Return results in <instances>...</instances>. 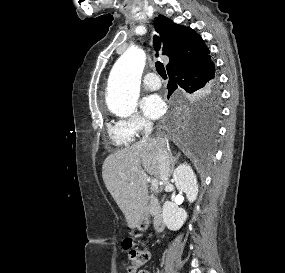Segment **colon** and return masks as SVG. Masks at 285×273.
I'll use <instances>...</instances> for the list:
<instances>
[{"label":"colon","mask_w":285,"mask_h":273,"mask_svg":"<svg viewBox=\"0 0 285 273\" xmlns=\"http://www.w3.org/2000/svg\"><path fill=\"white\" fill-rule=\"evenodd\" d=\"M123 247L127 252V273H135L148 262L150 253L146 247L137 246L132 239H125Z\"/></svg>","instance_id":"colon-1"}]
</instances>
